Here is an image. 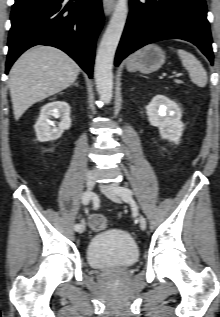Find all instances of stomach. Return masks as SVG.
Wrapping results in <instances>:
<instances>
[{"instance_id": "obj_1", "label": "stomach", "mask_w": 220, "mask_h": 317, "mask_svg": "<svg viewBox=\"0 0 220 317\" xmlns=\"http://www.w3.org/2000/svg\"><path fill=\"white\" fill-rule=\"evenodd\" d=\"M165 63L164 51L155 44H149L136 51L127 61L130 72L149 74L157 71Z\"/></svg>"}]
</instances>
